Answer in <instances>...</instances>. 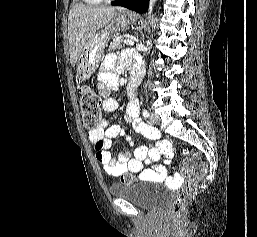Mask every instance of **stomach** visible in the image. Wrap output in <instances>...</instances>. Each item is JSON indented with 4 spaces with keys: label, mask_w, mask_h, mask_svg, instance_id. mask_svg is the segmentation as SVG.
Segmentation results:
<instances>
[{
    "label": "stomach",
    "mask_w": 257,
    "mask_h": 237,
    "mask_svg": "<svg viewBox=\"0 0 257 237\" xmlns=\"http://www.w3.org/2000/svg\"><path fill=\"white\" fill-rule=\"evenodd\" d=\"M134 20V14L130 12H115L110 22L88 39L78 58L76 76L79 80L90 78L98 67L104 49L113 34L127 29Z\"/></svg>",
    "instance_id": "stomach-1"
}]
</instances>
